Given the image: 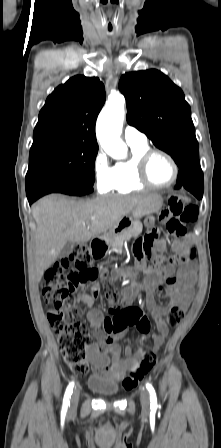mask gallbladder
I'll return each instance as SVG.
<instances>
[{
    "label": "gallbladder",
    "instance_id": "obj_1",
    "mask_svg": "<svg viewBox=\"0 0 221 448\" xmlns=\"http://www.w3.org/2000/svg\"><path fill=\"white\" fill-rule=\"evenodd\" d=\"M73 245H74L73 242H67L65 246L62 248L59 254V258L67 257L71 253Z\"/></svg>",
    "mask_w": 221,
    "mask_h": 448
}]
</instances>
